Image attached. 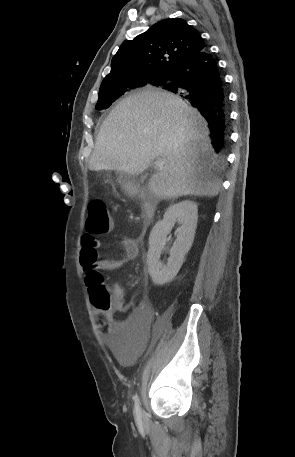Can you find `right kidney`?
Listing matches in <instances>:
<instances>
[{
  "label": "right kidney",
  "instance_id": "right-kidney-1",
  "mask_svg": "<svg viewBox=\"0 0 295 457\" xmlns=\"http://www.w3.org/2000/svg\"><path fill=\"white\" fill-rule=\"evenodd\" d=\"M198 221V206L195 202L185 200L170 206L161 221L153 227L149 237L147 264L152 281L156 285L170 282L179 272L185 255L190 250ZM180 227L176 230L177 236L171 250L167 264L160 262L166 237L175 223Z\"/></svg>",
  "mask_w": 295,
  "mask_h": 457
}]
</instances>
